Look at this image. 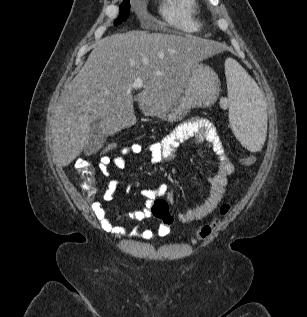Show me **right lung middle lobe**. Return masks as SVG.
<instances>
[{
  "label": "right lung middle lobe",
  "mask_w": 307,
  "mask_h": 317,
  "mask_svg": "<svg viewBox=\"0 0 307 317\" xmlns=\"http://www.w3.org/2000/svg\"><path fill=\"white\" fill-rule=\"evenodd\" d=\"M130 4L129 1H125L121 6V11L119 17L115 20V25L120 24L125 21L129 15Z\"/></svg>",
  "instance_id": "right-lung-middle-lobe-1"
}]
</instances>
